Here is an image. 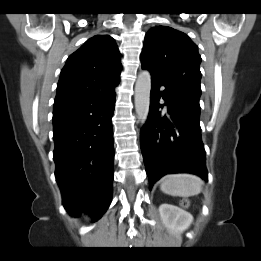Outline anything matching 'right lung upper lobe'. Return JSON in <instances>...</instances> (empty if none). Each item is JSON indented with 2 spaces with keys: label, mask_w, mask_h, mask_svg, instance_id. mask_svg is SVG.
<instances>
[{
  "label": "right lung upper lobe",
  "mask_w": 261,
  "mask_h": 261,
  "mask_svg": "<svg viewBox=\"0 0 261 261\" xmlns=\"http://www.w3.org/2000/svg\"><path fill=\"white\" fill-rule=\"evenodd\" d=\"M121 68L120 52L114 39L108 35H96L67 59L55 101L115 88Z\"/></svg>",
  "instance_id": "cb5924a9"
}]
</instances>
